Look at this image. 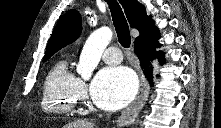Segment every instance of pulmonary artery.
I'll list each match as a JSON object with an SVG mask.
<instances>
[{
  "label": "pulmonary artery",
  "mask_w": 221,
  "mask_h": 128,
  "mask_svg": "<svg viewBox=\"0 0 221 128\" xmlns=\"http://www.w3.org/2000/svg\"><path fill=\"white\" fill-rule=\"evenodd\" d=\"M102 59L108 64H118L122 60L121 50L117 46L108 47L103 53Z\"/></svg>",
  "instance_id": "obj_1"
}]
</instances>
